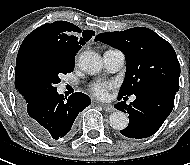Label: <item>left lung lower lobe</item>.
Returning <instances> with one entry per match:
<instances>
[{
	"mask_svg": "<svg viewBox=\"0 0 190 165\" xmlns=\"http://www.w3.org/2000/svg\"><path fill=\"white\" fill-rule=\"evenodd\" d=\"M175 94L170 89L152 88L136 93L135 101L129 105L115 104L116 109L129 114V125L120 131L121 134L135 139L153 135L171 113Z\"/></svg>",
	"mask_w": 190,
	"mask_h": 165,
	"instance_id": "1",
	"label": "left lung lower lobe"
}]
</instances>
